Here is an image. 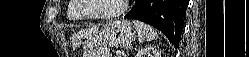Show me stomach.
Masks as SVG:
<instances>
[{
    "label": "stomach",
    "mask_w": 249,
    "mask_h": 57,
    "mask_svg": "<svg viewBox=\"0 0 249 57\" xmlns=\"http://www.w3.org/2000/svg\"><path fill=\"white\" fill-rule=\"evenodd\" d=\"M136 32V27L125 19L106 23L86 38L83 57H111L109 48L130 45L136 38Z\"/></svg>",
    "instance_id": "1"
}]
</instances>
